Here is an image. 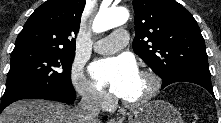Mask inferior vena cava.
Listing matches in <instances>:
<instances>
[{
	"label": "inferior vena cava",
	"mask_w": 221,
	"mask_h": 123,
	"mask_svg": "<svg viewBox=\"0 0 221 123\" xmlns=\"http://www.w3.org/2000/svg\"><path fill=\"white\" fill-rule=\"evenodd\" d=\"M82 99L76 107L78 123H98L100 112V94L90 87L82 92Z\"/></svg>",
	"instance_id": "obj_1"
}]
</instances>
